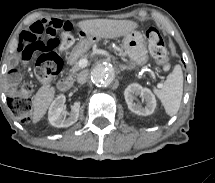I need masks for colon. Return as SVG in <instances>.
<instances>
[{"label": "colon", "instance_id": "colon-1", "mask_svg": "<svg viewBox=\"0 0 215 183\" xmlns=\"http://www.w3.org/2000/svg\"><path fill=\"white\" fill-rule=\"evenodd\" d=\"M69 30L68 20L48 17L32 23L30 30L27 29L21 34L19 58L23 61L37 54L35 74L42 81H53L58 75L61 60L57 50L67 51L74 43ZM146 38L152 56L164 71L169 70L171 62L162 35L155 28H149ZM31 90L29 84H24L9 97L11 110L23 122L29 121L32 116Z\"/></svg>", "mask_w": 215, "mask_h": 183}]
</instances>
